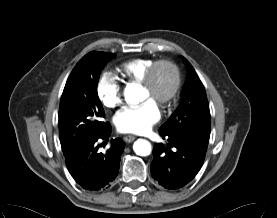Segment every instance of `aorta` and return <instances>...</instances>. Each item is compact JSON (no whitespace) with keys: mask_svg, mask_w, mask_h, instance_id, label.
I'll return each mask as SVG.
<instances>
[{"mask_svg":"<svg viewBox=\"0 0 277 218\" xmlns=\"http://www.w3.org/2000/svg\"><path fill=\"white\" fill-rule=\"evenodd\" d=\"M125 100L130 104H137L141 101V97L136 89L128 87L125 91ZM133 150L138 156H148L152 147L148 140L138 139L133 144Z\"/></svg>","mask_w":277,"mask_h":218,"instance_id":"762f6f07","label":"aorta"}]
</instances>
